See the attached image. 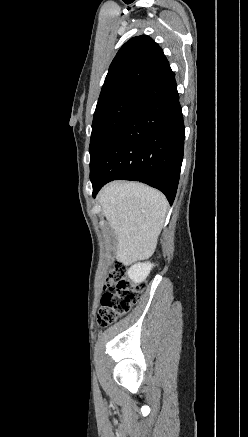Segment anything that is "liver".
<instances>
[{
	"instance_id": "6515ba94",
	"label": "liver",
	"mask_w": 248,
	"mask_h": 437,
	"mask_svg": "<svg viewBox=\"0 0 248 437\" xmlns=\"http://www.w3.org/2000/svg\"><path fill=\"white\" fill-rule=\"evenodd\" d=\"M103 213L117 237L116 259L124 264L149 258L163 228L168 203L138 182H112L99 193Z\"/></svg>"
}]
</instances>
